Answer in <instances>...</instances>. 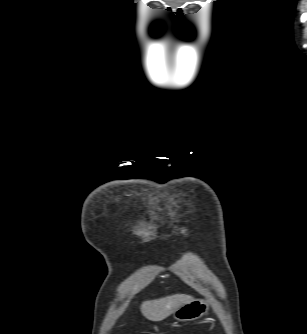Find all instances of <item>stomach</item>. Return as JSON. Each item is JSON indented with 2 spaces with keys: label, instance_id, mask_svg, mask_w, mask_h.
<instances>
[{
  "label": "stomach",
  "instance_id": "0dacf381",
  "mask_svg": "<svg viewBox=\"0 0 307 334\" xmlns=\"http://www.w3.org/2000/svg\"><path fill=\"white\" fill-rule=\"evenodd\" d=\"M208 311V304L203 299H194L173 312L174 319L187 322L201 318Z\"/></svg>",
  "mask_w": 307,
  "mask_h": 334
}]
</instances>
